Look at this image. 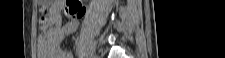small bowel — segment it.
I'll return each mask as SVG.
<instances>
[{
	"label": "small bowel",
	"instance_id": "small-bowel-1",
	"mask_svg": "<svg viewBox=\"0 0 225 58\" xmlns=\"http://www.w3.org/2000/svg\"><path fill=\"white\" fill-rule=\"evenodd\" d=\"M64 9L65 3L56 1L46 13L38 35V58H73L71 53L62 50L60 44L63 39L77 30L78 21L71 20L63 24Z\"/></svg>",
	"mask_w": 225,
	"mask_h": 58
}]
</instances>
